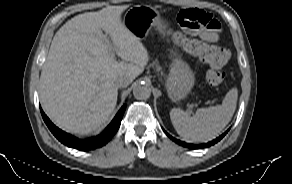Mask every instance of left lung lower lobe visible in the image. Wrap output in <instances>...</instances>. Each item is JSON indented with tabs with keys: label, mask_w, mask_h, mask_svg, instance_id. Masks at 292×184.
I'll return each mask as SVG.
<instances>
[{
	"label": "left lung lower lobe",
	"mask_w": 292,
	"mask_h": 184,
	"mask_svg": "<svg viewBox=\"0 0 292 184\" xmlns=\"http://www.w3.org/2000/svg\"><path fill=\"white\" fill-rule=\"evenodd\" d=\"M227 132H228V130L225 133H223L220 137L214 139L213 141H211L209 143H206V144H201V145H193V144L185 143V142H182V141H179V140L175 139L174 137L169 135L167 132H165V133L174 142H176V143H178V144H180V145H182L184 147H188V148H192V149H201V148L209 147V146L217 143L218 141H220L226 135Z\"/></svg>",
	"instance_id": "0a47b994"
}]
</instances>
